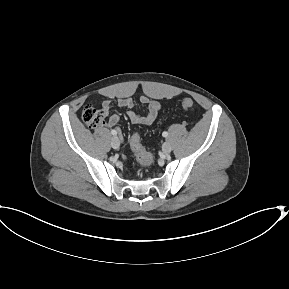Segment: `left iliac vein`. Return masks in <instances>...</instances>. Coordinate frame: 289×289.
<instances>
[{
    "label": "left iliac vein",
    "mask_w": 289,
    "mask_h": 289,
    "mask_svg": "<svg viewBox=\"0 0 289 289\" xmlns=\"http://www.w3.org/2000/svg\"><path fill=\"white\" fill-rule=\"evenodd\" d=\"M162 150H163V152L166 153V154L170 153L171 150H172L171 144H170L169 142H165V143L163 144V146H162Z\"/></svg>",
    "instance_id": "1"
}]
</instances>
